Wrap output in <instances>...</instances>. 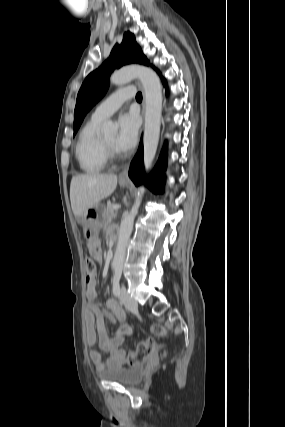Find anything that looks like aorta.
<instances>
[{"instance_id": "obj_1", "label": "aorta", "mask_w": 285, "mask_h": 427, "mask_svg": "<svg viewBox=\"0 0 285 427\" xmlns=\"http://www.w3.org/2000/svg\"><path fill=\"white\" fill-rule=\"evenodd\" d=\"M134 78H138L141 81L145 93L146 109L143 144L144 166L148 171L155 158L159 142L162 114V88L156 73L141 65L127 66L114 72L110 77V82L114 85H123ZM102 130L105 135H114L118 131V126L108 121L103 124ZM144 191L145 188L143 186L138 189L136 200L130 213L125 216L121 222L117 247L112 261V267L116 270H121L123 267L127 243Z\"/></svg>"}]
</instances>
